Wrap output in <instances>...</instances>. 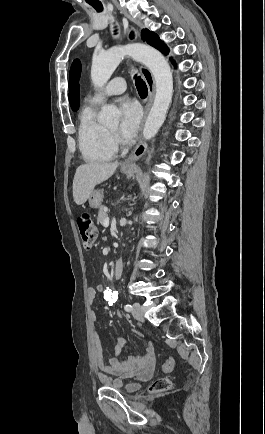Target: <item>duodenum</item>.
I'll return each instance as SVG.
<instances>
[{
    "label": "duodenum",
    "mask_w": 265,
    "mask_h": 434,
    "mask_svg": "<svg viewBox=\"0 0 265 434\" xmlns=\"http://www.w3.org/2000/svg\"><path fill=\"white\" fill-rule=\"evenodd\" d=\"M124 258H118L113 265V271H112V279L113 280H119L123 274L124 271Z\"/></svg>",
    "instance_id": "410a0bca"
}]
</instances>
